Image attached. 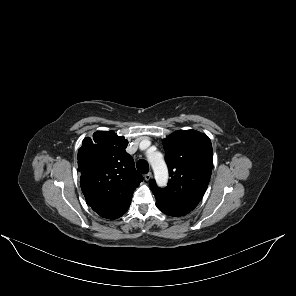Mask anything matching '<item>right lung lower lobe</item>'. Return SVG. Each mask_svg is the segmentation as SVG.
I'll list each match as a JSON object with an SVG mask.
<instances>
[{
	"instance_id": "right-lung-lower-lobe-1",
	"label": "right lung lower lobe",
	"mask_w": 296,
	"mask_h": 296,
	"mask_svg": "<svg viewBox=\"0 0 296 296\" xmlns=\"http://www.w3.org/2000/svg\"><path fill=\"white\" fill-rule=\"evenodd\" d=\"M130 203L94 208L93 210L103 218L116 219L122 216L128 210Z\"/></svg>"
}]
</instances>
